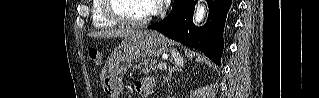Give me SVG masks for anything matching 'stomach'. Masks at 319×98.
Masks as SVG:
<instances>
[{
	"label": "stomach",
	"mask_w": 319,
	"mask_h": 98,
	"mask_svg": "<svg viewBox=\"0 0 319 98\" xmlns=\"http://www.w3.org/2000/svg\"><path fill=\"white\" fill-rule=\"evenodd\" d=\"M168 49L167 40L155 31H140L127 36L114 51L104 75L103 92L115 98L122 89L123 76L139 58L158 57Z\"/></svg>",
	"instance_id": "stomach-1"
}]
</instances>
